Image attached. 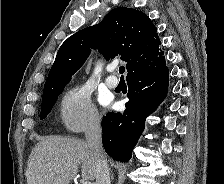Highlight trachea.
<instances>
[{"instance_id": "trachea-1", "label": "trachea", "mask_w": 224, "mask_h": 184, "mask_svg": "<svg viewBox=\"0 0 224 184\" xmlns=\"http://www.w3.org/2000/svg\"><path fill=\"white\" fill-rule=\"evenodd\" d=\"M125 72V67L124 66H121L119 68V73L121 74V78H123V73Z\"/></svg>"}]
</instances>
